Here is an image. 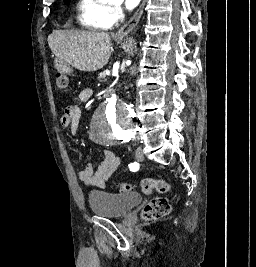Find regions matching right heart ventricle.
<instances>
[{
	"label": "right heart ventricle",
	"instance_id": "e07e8e85",
	"mask_svg": "<svg viewBox=\"0 0 256 267\" xmlns=\"http://www.w3.org/2000/svg\"><path fill=\"white\" fill-rule=\"evenodd\" d=\"M83 5L88 10L89 16L86 21L83 22L86 28H100L98 21L101 18L104 10H109L112 5L111 0H85ZM71 28V27H64Z\"/></svg>",
	"mask_w": 256,
	"mask_h": 267
}]
</instances>
